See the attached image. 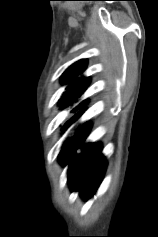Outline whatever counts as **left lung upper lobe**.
<instances>
[{
	"label": "left lung upper lobe",
	"instance_id": "1",
	"mask_svg": "<svg viewBox=\"0 0 158 237\" xmlns=\"http://www.w3.org/2000/svg\"><path fill=\"white\" fill-rule=\"evenodd\" d=\"M87 65L86 60H80L70 66L61 76V81L63 84L70 83L66 88V91L63 93L62 97L59 99L58 105L60 109H64L69 105H72L77 99L84 93L87 89L88 84L90 83L89 78L73 80L81 74ZM88 102V99L79 103L73 111H76L78 108L83 107Z\"/></svg>",
	"mask_w": 158,
	"mask_h": 237
}]
</instances>
